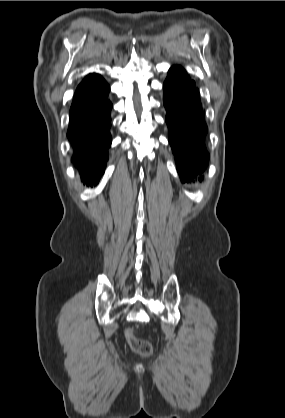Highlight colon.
I'll list each match as a JSON object with an SVG mask.
<instances>
[{
	"instance_id": "colon-1",
	"label": "colon",
	"mask_w": 285,
	"mask_h": 418,
	"mask_svg": "<svg viewBox=\"0 0 285 418\" xmlns=\"http://www.w3.org/2000/svg\"><path fill=\"white\" fill-rule=\"evenodd\" d=\"M125 338L129 346L137 353L143 356H150L152 354L153 349L151 343L146 339L137 337L132 328L126 329Z\"/></svg>"
}]
</instances>
